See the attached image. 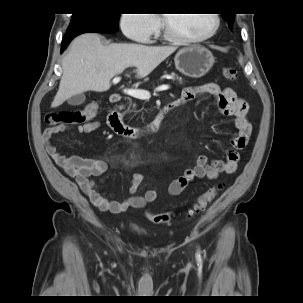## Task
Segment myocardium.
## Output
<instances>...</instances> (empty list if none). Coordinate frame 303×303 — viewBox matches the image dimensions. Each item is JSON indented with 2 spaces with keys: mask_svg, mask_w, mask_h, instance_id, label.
Wrapping results in <instances>:
<instances>
[{
  "mask_svg": "<svg viewBox=\"0 0 303 303\" xmlns=\"http://www.w3.org/2000/svg\"><path fill=\"white\" fill-rule=\"evenodd\" d=\"M214 19V25L210 31H208L206 34H203L201 36H196V37H190V36H184L181 34L176 33L170 26L169 23V18L167 16H163L162 18V24H163V32L164 36L168 38L169 40L178 42V43H198L205 41L212 36L216 34V32L219 29L220 26V17L218 14L214 13L211 14Z\"/></svg>",
  "mask_w": 303,
  "mask_h": 303,
  "instance_id": "1",
  "label": "myocardium"
}]
</instances>
